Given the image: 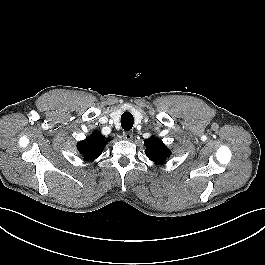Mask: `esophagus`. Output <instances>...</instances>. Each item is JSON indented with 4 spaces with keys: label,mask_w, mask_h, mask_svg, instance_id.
I'll use <instances>...</instances> for the list:
<instances>
[{
    "label": "esophagus",
    "mask_w": 265,
    "mask_h": 265,
    "mask_svg": "<svg viewBox=\"0 0 265 265\" xmlns=\"http://www.w3.org/2000/svg\"><path fill=\"white\" fill-rule=\"evenodd\" d=\"M123 138L127 141H131L133 139V133L132 132H124L123 133Z\"/></svg>",
    "instance_id": "34e87169"
}]
</instances>
